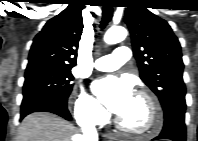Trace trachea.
<instances>
[{
    "mask_svg": "<svg viewBox=\"0 0 198 141\" xmlns=\"http://www.w3.org/2000/svg\"><path fill=\"white\" fill-rule=\"evenodd\" d=\"M112 18V8L111 6H104L103 7V13H102V21H101V29L105 28V26L108 24V22Z\"/></svg>",
    "mask_w": 198,
    "mask_h": 141,
    "instance_id": "obj_1",
    "label": "trachea"
}]
</instances>
